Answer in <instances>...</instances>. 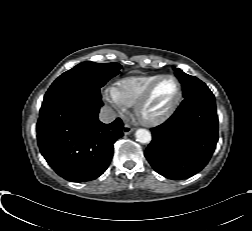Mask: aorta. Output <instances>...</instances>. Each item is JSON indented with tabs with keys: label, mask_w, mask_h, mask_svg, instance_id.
Returning <instances> with one entry per match:
<instances>
[{
	"label": "aorta",
	"mask_w": 252,
	"mask_h": 231,
	"mask_svg": "<svg viewBox=\"0 0 252 231\" xmlns=\"http://www.w3.org/2000/svg\"><path fill=\"white\" fill-rule=\"evenodd\" d=\"M136 140L142 144H148L151 142V133L146 129H138L135 132Z\"/></svg>",
	"instance_id": "aorta-1"
}]
</instances>
